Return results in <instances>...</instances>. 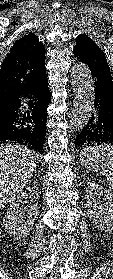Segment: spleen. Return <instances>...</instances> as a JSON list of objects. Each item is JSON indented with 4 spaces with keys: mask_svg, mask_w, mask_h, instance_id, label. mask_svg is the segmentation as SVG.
Masks as SVG:
<instances>
[{
    "mask_svg": "<svg viewBox=\"0 0 113 279\" xmlns=\"http://www.w3.org/2000/svg\"><path fill=\"white\" fill-rule=\"evenodd\" d=\"M79 158L83 167L106 176L109 189L113 192V146L110 144L87 146L82 148Z\"/></svg>",
    "mask_w": 113,
    "mask_h": 279,
    "instance_id": "1",
    "label": "spleen"
}]
</instances>
